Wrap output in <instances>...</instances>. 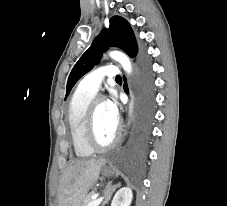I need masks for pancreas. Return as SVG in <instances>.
<instances>
[{
	"label": "pancreas",
	"mask_w": 227,
	"mask_h": 206,
	"mask_svg": "<svg viewBox=\"0 0 227 206\" xmlns=\"http://www.w3.org/2000/svg\"><path fill=\"white\" fill-rule=\"evenodd\" d=\"M93 194H94V191H92L91 193L87 194V195L84 197L81 206H88V204L92 201V200H91V196H92Z\"/></svg>",
	"instance_id": "1"
}]
</instances>
